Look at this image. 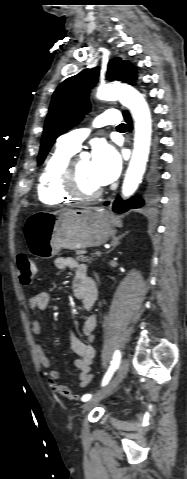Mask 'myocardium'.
<instances>
[{"label":"myocardium","instance_id":"myocardium-1","mask_svg":"<svg viewBox=\"0 0 187 479\" xmlns=\"http://www.w3.org/2000/svg\"><path fill=\"white\" fill-rule=\"evenodd\" d=\"M78 158H71L62 174V189L73 199L78 201H93L101 196L103 189L100 187L87 193L82 190L78 178Z\"/></svg>","mask_w":187,"mask_h":479}]
</instances>
